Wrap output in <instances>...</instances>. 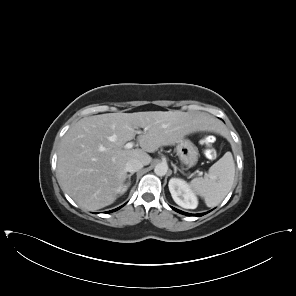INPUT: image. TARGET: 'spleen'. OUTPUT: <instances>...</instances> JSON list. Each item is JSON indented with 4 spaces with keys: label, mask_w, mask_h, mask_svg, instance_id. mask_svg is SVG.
Returning a JSON list of instances; mask_svg holds the SVG:
<instances>
[{
    "label": "spleen",
    "mask_w": 296,
    "mask_h": 296,
    "mask_svg": "<svg viewBox=\"0 0 296 296\" xmlns=\"http://www.w3.org/2000/svg\"><path fill=\"white\" fill-rule=\"evenodd\" d=\"M235 175V163L231 152H226L214 163L205 177L194 178L190 187L204 198L208 207L219 205L229 193Z\"/></svg>",
    "instance_id": "spleen-1"
}]
</instances>
